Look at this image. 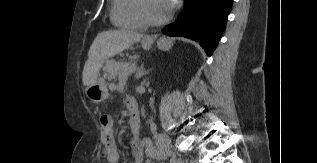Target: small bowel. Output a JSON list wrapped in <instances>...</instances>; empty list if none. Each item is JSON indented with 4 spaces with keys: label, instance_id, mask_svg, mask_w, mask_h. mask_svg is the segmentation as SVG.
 <instances>
[{
    "label": "small bowel",
    "instance_id": "1",
    "mask_svg": "<svg viewBox=\"0 0 317 163\" xmlns=\"http://www.w3.org/2000/svg\"><path fill=\"white\" fill-rule=\"evenodd\" d=\"M129 112H138L136 103L133 100L127 101ZM139 113V112H138ZM101 127V157L106 163H118L119 151L114 138L113 121L110 117L102 116L100 118ZM131 146L135 156L134 163H141L143 154H146L151 159L158 158V152L153 147L149 139H132ZM145 163H154L153 160H147Z\"/></svg>",
    "mask_w": 317,
    "mask_h": 163
}]
</instances>
